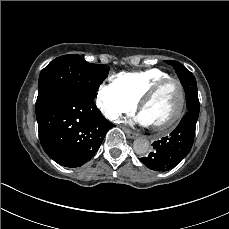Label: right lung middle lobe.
<instances>
[{"label":"right lung middle lobe","mask_w":229,"mask_h":229,"mask_svg":"<svg viewBox=\"0 0 229 229\" xmlns=\"http://www.w3.org/2000/svg\"><path fill=\"white\" fill-rule=\"evenodd\" d=\"M108 72L106 65L88 63L76 54L56 58L40 73L35 109L61 90H76L94 99Z\"/></svg>","instance_id":"1"}]
</instances>
